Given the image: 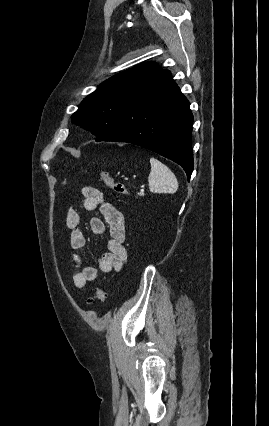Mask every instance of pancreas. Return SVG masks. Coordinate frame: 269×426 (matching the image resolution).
I'll use <instances>...</instances> for the list:
<instances>
[{"mask_svg":"<svg viewBox=\"0 0 269 426\" xmlns=\"http://www.w3.org/2000/svg\"><path fill=\"white\" fill-rule=\"evenodd\" d=\"M138 195H140V196H141V195H143V194H141V193H138Z\"/></svg>","mask_w":269,"mask_h":426,"instance_id":"cf45deb5","label":"pancreas"}]
</instances>
